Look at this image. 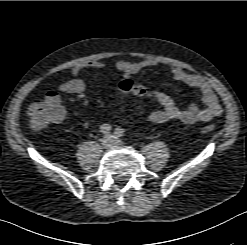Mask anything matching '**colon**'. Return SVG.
Returning <instances> with one entry per match:
<instances>
[{
    "instance_id": "colon-1",
    "label": "colon",
    "mask_w": 247,
    "mask_h": 245,
    "mask_svg": "<svg viewBox=\"0 0 247 245\" xmlns=\"http://www.w3.org/2000/svg\"><path fill=\"white\" fill-rule=\"evenodd\" d=\"M119 91L123 94H134L141 97H149L150 90L135 83L131 79H124L119 83ZM30 128L41 131L51 124L59 123L64 117V111L60 104L47 102L45 99L33 101L27 109ZM216 129L214 124H207L201 128L203 133H210Z\"/></svg>"
}]
</instances>
